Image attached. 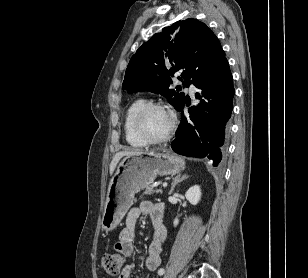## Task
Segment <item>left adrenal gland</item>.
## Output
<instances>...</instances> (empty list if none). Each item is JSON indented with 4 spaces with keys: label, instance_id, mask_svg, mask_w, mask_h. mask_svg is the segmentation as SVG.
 Segmentation results:
<instances>
[{
    "label": "left adrenal gland",
    "instance_id": "left-adrenal-gland-1",
    "mask_svg": "<svg viewBox=\"0 0 308 278\" xmlns=\"http://www.w3.org/2000/svg\"><path fill=\"white\" fill-rule=\"evenodd\" d=\"M188 177H189L188 175H183V176L181 177V174H178V175L173 179V182H172V184H171V189H170V191H169V195L172 194V192L174 191L175 186H176L178 183H180V182L186 180Z\"/></svg>",
    "mask_w": 308,
    "mask_h": 278
}]
</instances>
